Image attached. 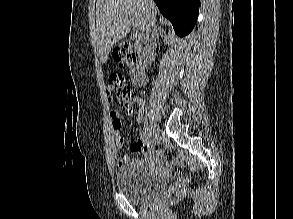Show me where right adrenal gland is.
Wrapping results in <instances>:
<instances>
[{"instance_id":"2a0ac1e0","label":"right adrenal gland","mask_w":293,"mask_h":219,"mask_svg":"<svg viewBox=\"0 0 293 219\" xmlns=\"http://www.w3.org/2000/svg\"><path fill=\"white\" fill-rule=\"evenodd\" d=\"M160 28H158L157 30H159ZM157 30H156V38L154 39V42H153V48L156 47V42L158 41L159 39V34L157 33ZM160 35H161V31H160ZM162 37V35H161Z\"/></svg>"}]
</instances>
